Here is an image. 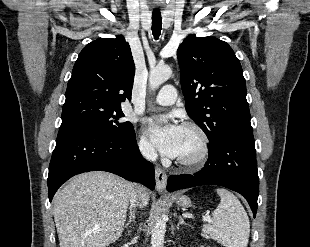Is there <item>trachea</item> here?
Masks as SVG:
<instances>
[{"label":"trachea","instance_id":"1","mask_svg":"<svg viewBox=\"0 0 310 247\" xmlns=\"http://www.w3.org/2000/svg\"><path fill=\"white\" fill-rule=\"evenodd\" d=\"M162 18L160 11H153L152 13V33L157 40L161 34Z\"/></svg>","mask_w":310,"mask_h":247}]
</instances>
